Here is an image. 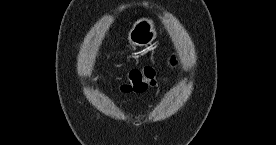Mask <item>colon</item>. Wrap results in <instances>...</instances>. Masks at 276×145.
Returning <instances> with one entry per match:
<instances>
[{
  "label": "colon",
  "instance_id": "5ec220e1",
  "mask_svg": "<svg viewBox=\"0 0 276 145\" xmlns=\"http://www.w3.org/2000/svg\"><path fill=\"white\" fill-rule=\"evenodd\" d=\"M175 63V59H172L171 64ZM158 77V70L153 66L133 68L127 73L125 81L121 84V90L125 93H142L154 86Z\"/></svg>",
  "mask_w": 276,
  "mask_h": 145
}]
</instances>
